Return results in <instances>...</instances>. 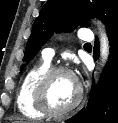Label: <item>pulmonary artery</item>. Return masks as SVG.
<instances>
[{"label": "pulmonary artery", "mask_w": 118, "mask_h": 123, "mask_svg": "<svg viewBox=\"0 0 118 123\" xmlns=\"http://www.w3.org/2000/svg\"><path fill=\"white\" fill-rule=\"evenodd\" d=\"M79 38L83 41L92 40V33L90 29H82V31L79 33ZM54 55H55V50L53 48H45L42 51V56L47 61H51Z\"/></svg>", "instance_id": "1"}]
</instances>
